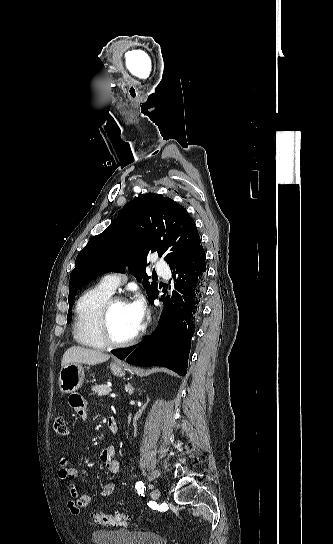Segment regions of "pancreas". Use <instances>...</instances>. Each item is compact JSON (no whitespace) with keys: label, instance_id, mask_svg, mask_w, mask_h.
<instances>
[{"label":"pancreas","instance_id":"1","mask_svg":"<svg viewBox=\"0 0 333 544\" xmlns=\"http://www.w3.org/2000/svg\"><path fill=\"white\" fill-rule=\"evenodd\" d=\"M92 391L98 396H107L111 392V388L106 384L95 385L92 386Z\"/></svg>","mask_w":333,"mask_h":544}]
</instances>
